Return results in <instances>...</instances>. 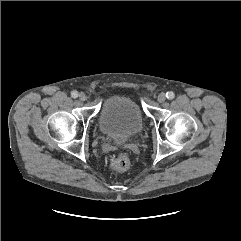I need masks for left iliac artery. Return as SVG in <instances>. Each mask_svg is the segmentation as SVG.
I'll list each match as a JSON object with an SVG mask.
<instances>
[{
	"mask_svg": "<svg viewBox=\"0 0 241 241\" xmlns=\"http://www.w3.org/2000/svg\"><path fill=\"white\" fill-rule=\"evenodd\" d=\"M166 97H167V99L172 100V99H174L175 94H174V92L169 91L166 93Z\"/></svg>",
	"mask_w": 241,
	"mask_h": 241,
	"instance_id": "left-iliac-artery-1",
	"label": "left iliac artery"
}]
</instances>
